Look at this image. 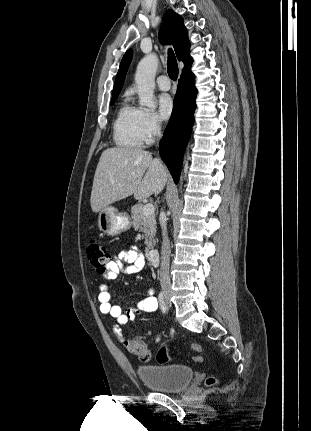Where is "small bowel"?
Instances as JSON below:
<instances>
[{
	"mask_svg": "<svg viewBox=\"0 0 311 431\" xmlns=\"http://www.w3.org/2000/svg\"><path fill=\"white\" fill-rule=\"evenodd\" d=\"M144 265L145 260L143 255L136 247H131L128 250L113 254L107 263L104 276L107 279H115L119 274H135L140 272L144 268ZM98 302L101 313L108 314L116 319L115 331L121 340L125 339V336L121 333V326L133 321L137 315L155 312L160 305L154 296V289L152 287L146 291L145 297L136 306L126 312H123L120 305L112 303L111 294L106 285L100 286Z\"/></svg>",
	"mask_w": 311,
	"mask_h": 431,
	"instance_id": "small-bowel-1",
	"label": "small bowel"
}]
</instances>
